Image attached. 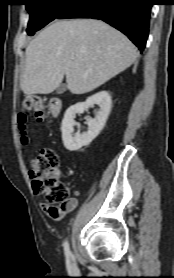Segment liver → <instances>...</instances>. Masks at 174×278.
Returning <instances> with one entry per match:
<instances>
[{
    "mask_svg": "<svg viewBox=\"0 0 174 278\" xmlns=\"http://www.w3.org/2000/svg\"><path fill=\"white\" fill-rule=\"evenodd\" d=\"M134 44L120 31L95 19L57 20L26 48L20 86L24 94H50L64 75L72 94L94 90L130 67Z\"/></svg>",
    "mask_w": 174,
    "mask_h": 278,
    "instance_id": "1",
    "label": "liver"
}]
</instances>
